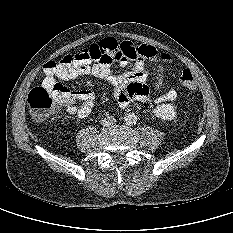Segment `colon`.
Wrapping results in <instances>:
<instances>
[{
	"label": "colon",
	"instance_id": "1",
	"mask_svg": "<svg viewBox=\"0 0 233 233\" xmlns=\"http://www.w3.org/2000/svg\"><path fill=\"white\" fill-rule=\"evenodd\" d=\"M115 54L120 55L116 45L110 48ZM103 52L96 46H88L81 49L76 54H68L60 61H49L48 67L68 66L75 61L82 59H98L102 57ZM181 84L188 90L193 91L196 88V83L192 72L189 69H184L180 75ZM28 104L31 114L36 120H44L53 114L62 104L60 98L51 90L45 87L33 88L28 95Z\"/></svg>",
	"mask_w": 233,
	"mask_h": 233
}]
</instances>
